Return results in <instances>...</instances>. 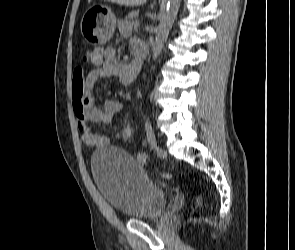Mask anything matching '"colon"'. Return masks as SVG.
<instances>
[{
    "label": "colon",
    "instance_id": "5ec220e1",
    "mask_svg": "<svg viewBox=\"0 0 295 250\" xmlns=\"http://www.w3.org/2000/svg\"><path fill=\"white\" fill-rule=\"evenodd\" d=\"M91 58H92V51H85L83 53V56H82L83 61L90 62ZM200 204H201V199H200V197H197L196 198V205L199 206Z\"/></svg>",
    "mask_w": 295,
    "mask_h": 250
}]
</instances>
